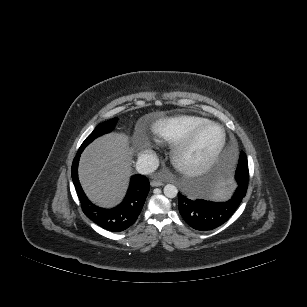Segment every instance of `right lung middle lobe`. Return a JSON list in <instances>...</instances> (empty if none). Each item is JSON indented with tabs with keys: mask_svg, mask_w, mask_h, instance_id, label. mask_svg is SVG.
I'll use <instances>...</instances> for the list:
<instances>
[{
	"mask_svg": "<svg viewBox=\"0 0 307 307\" xmlns=\"http://www.w3.org/2000/svg\"><path fill=\"white\" fill-rule=\"evenodd\" d=\"M117 118H113L109 121L100 123L93 132L85 139V141L82 143L80 149H84L88 144H90L95 138L111 132L116 124Z\"/></svg>",
	"mask_w": 307,
	"mask_h": 307,
	"instance_id": "obj_1",
	"label": "right lung middle lobe"
}]
</instances>
